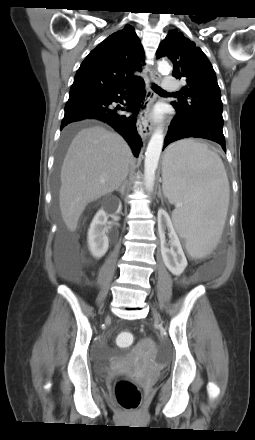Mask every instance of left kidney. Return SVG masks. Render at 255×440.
<instances>
[{
	"label": "left kidney",
	"instance_id": "obj_1",
	"mask_svg": "<svg viewBox=\"0 0 255 440\" xmlns=\"http://www.w3.org/2000/svg\"><path fill=\"white\" fill-rule=\"evenodd\" d=\"M164 228H167L169 230L168 235L170 238V249L168 248V244L165 241V235L163 231ZM158 229L161 239V254L163 262L172 274L179 276L187 267V259L183 252L179 238L173 227L172 221L168 213L163 209H160L158 211Z\"/></svg>",
	"mask_w": 255,
	"mask_h": 440
}]
</instances>
